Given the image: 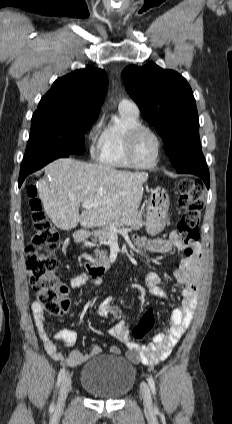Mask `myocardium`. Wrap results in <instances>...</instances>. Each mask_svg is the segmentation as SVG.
Segmentation results:
<instances>
[{
    "label": "myocardium",
    "mask_w": 232,
    "mask_h": 424,
    "mask_svg": "<svg viewBox=\"0 0 232 424\" xmlns=\"http://www.w3.org/2000/svg\"><path fill=\"white\" fill-rule=\"evenodd\" d=\"M143 132L150 133L155 138V140L157 142L156 158L152 163L147 164V165H141V164L137 163V161L134 158V153H133L134 144L136 142V139ZM125 153H126V157H127L128 161H129V163L131 164L132 167L137 168V169H143V170L154 168L159 163L160 158H161V153H162L161 137L158 135V133L154 129H152L148 126H145V125H138V126L132 128L127 134Z\"/></svg>",
    "instance_id": "myocardium-1"
}]
</instances>
